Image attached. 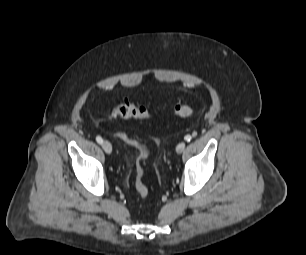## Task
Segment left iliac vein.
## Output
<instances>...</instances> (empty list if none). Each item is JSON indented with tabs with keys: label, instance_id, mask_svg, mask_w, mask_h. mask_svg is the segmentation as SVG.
<instances>
[{
	"label": "left iliac vein",
	"instance_id": "4c4485c4",
	"mask_svg": "<svg viewBox=\"0 0 306 255\" xmlns=\"http://www.w3.org/2000/svg\"><path fill=\"white\" fill-rule=\"evenodd\" d=\"M185 146H186L185 142H180L176 147V152L178 154H181L184 151Z\"/></svg>",
	"mask_w": 306,
	"mask_h": 255
}]
</instances>
